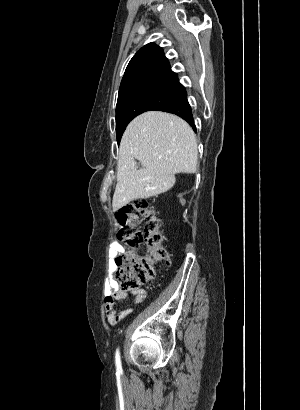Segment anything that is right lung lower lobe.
I'll list each match as a JSON object with an SVG mask.
<instances>
[{"label": "right lung lower lobe", "mask_w": 300, "mask_h": 410, "mask_svg": "<svg viewBox=\"0 0 300 410\" xmlns=\"http://www.w3.org/2000/svg\"><path fill=\"white\" fill-rule=\"evenodd\" d=\"M159 111H165L176 114L186 120L190 126L196 131L191 106L187 101V93L184 91L174 102L159 109Z\"/></svg>", "instance_id": "right-lung-lower-lobe-1"}]
</instances>
